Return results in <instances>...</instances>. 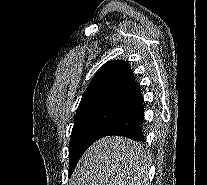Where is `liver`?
<instances>
[{
	"label": "liver",
	"mask_w": 207,
	"mask_h": 185,
	"mask_svg": "<svg viewBox=\"0 0 207 185\" xmlns=\"http://www.w3.org/2000/svg\"><path fill=\"white\" fill-rule=\"evenodd\" d=\"M145 151L126 137H103L82 155L74 169V185H146Z\"/></svg>",
	"instance_id": "6515ba94"
}]
</instances>
